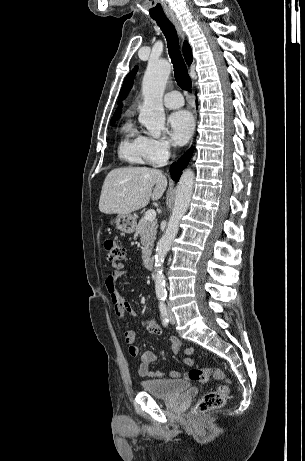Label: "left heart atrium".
I'll return each mask as SVG.
<instances>
[{"instance_id": "39dd6f15", "label": "left heart atrium", "mask_w": 305, "mask_h": 461, "mask_svg": "<svg viewBox=\"0 0 305 461\" xmlns=\"http://www.w3.org/2000/svg\"><path fill=\"white\" fill-rule=\"evenodd\" d=\"M168 125L170 128V135L177 144H185L194 128V121L192 115L185 111L180 110L172 113L168 118Z\"/></svg>"}]
</instances>
